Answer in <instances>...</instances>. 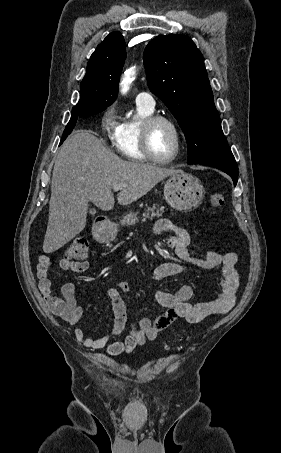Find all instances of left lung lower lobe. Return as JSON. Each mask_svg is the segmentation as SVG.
<instances>
[{
  "label": "left lung lower lobe",
  "instance_id": "0a47b994",
  "mask_svg": "<svg viewBox=\"0 0 281 453\" xmlns=\"http://www.w3.org/2000/svg\"><path fill=\"white\" fill-rule=\"evenodd\" d=\"M200 165H206V166H211L217 169L222 170L223 172L227 173L230 175V177L233 179L234 186H236L237 181H238V166L235 161L233 160H220V161H209V162H202L199 163Z\"/></svg>",
  "mask_w": 281,
  "mask_h": 453
}]
</instances>
